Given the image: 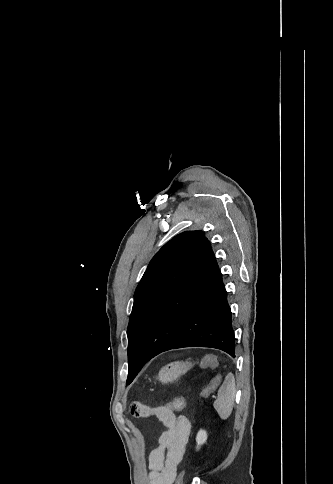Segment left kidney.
<instances>
[{
  "mask_svg": "<svg viewBox=\"0 0 333 484\" xmlns=\"http://www.w3.org/2000/svg\"><path fill=\"white\" fill-rule=\"evenodd\" d=\"M207 440V433L205 430H200L198 433H197V436H196V442H197V449H199V447L201 445H203Z\"/></svg>",
  "mask_w": 333,
  "mask_h": 484,
  "instance_id": "5707ae66",
  "label": "left kidney"
}]
</instances>
